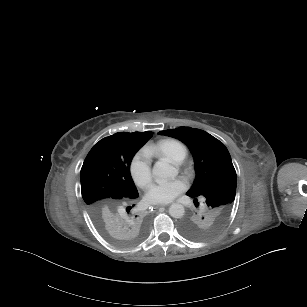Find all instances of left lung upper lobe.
Listing matches in <instances>:
<instances>
[{"label":"left lung upper lobe","instance_id":"5c2ea615","mask_svg":"<svg viewBox=\"0 0 307 307\" xmlns=\"http://www.w3.org/2000/svg\"><path fill=\"white\" fill-rule=\"evenodd\" d=\"M185 143L195 162L196 178L187 195L202 206L184 218L180 231L192 240H205L224 226L236 193V171L225 145L207 132L190 128L160 131Z\"/></svg>","mask_w":307,"mask_h":307}]
</instances>
